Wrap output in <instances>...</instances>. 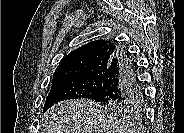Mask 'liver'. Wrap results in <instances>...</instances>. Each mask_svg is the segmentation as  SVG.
I'll return each mask as SVG.
<instances>
[{
    "mask_svg": "<svg viewBox=\"0 0 184 133\" xmlns=\"http://www.w3.org/2000/svg\"><path fill=\"white\" fill-rule=\"evenodd\" d=\"M44 133H126L128 126L89 99L67 100L44 115Z\"/></svg>",
    "mask_w": 184,
    "mask_h": 133,
    "instance_id": "liver-1",
    "label": "liver"
}]
</instances>
